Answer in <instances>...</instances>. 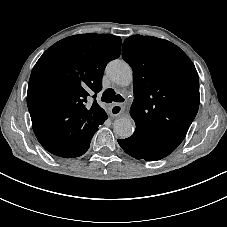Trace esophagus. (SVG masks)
Here are the masks:
<instances>
[{
    "label": "esophagus",
    "mask_w": 227,
    "mask_h": 227,
    "mask_svg": "<svg viewBox=\"0 0 227 227\" xmlns=\"http://www.w3.org/2000/svg\"><path fill=\"white\" fill-rule=\"evenodd\" d=\"M124 111V107L121 104H114L110 108V114L114 117L119 116Z\"/></svg>",
    "instance_id": "1"
}]
</instances>
